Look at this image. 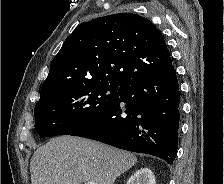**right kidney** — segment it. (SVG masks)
Instances as JSON below:
<instances>
[{
	"label": "right kidney",
	"instance_id": "obj_1",
	"mask_svg": "<svg viewBox=\"0 0 224 184\" xmlns=\"http://www.w3.org/2000/svg\"><path fill=\"white\" fill-rule=\"evenodd\" d=\"M127 184H156L153 172L148 168H141L132 175Z\"/></svg>",
	"mask_w": 224,
	"mask_h": 184
}]
</instances>
